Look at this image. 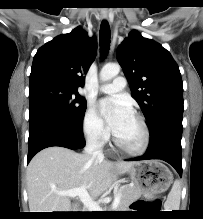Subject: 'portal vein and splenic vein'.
Segmentation results:
<instances>
[{
  "mask_svg": "<svg viewBox=\"0 0 203 219\" xmlns=\"http://www.w3.org/2000/svg\"><path fill=\"white\" fill-rule=\"evenodd\" d=\"M57 194L62 196H69L71 198H75L78 196L81 202L84 204V206L89 209V211H103L102 208L99 206V204L92 200L85 186L67 190V191H59L57 192ZM120 199H121L120 194H116L111 205L113 209L118 207L120 203Z\"/></svg>",
  "mask_w": 203,
  "mask_h": 219,
  "instance_id": "portal-vein-and-splenic-vein-1",
  "label": "portal vein and splenic vein"
}]
</instances>
